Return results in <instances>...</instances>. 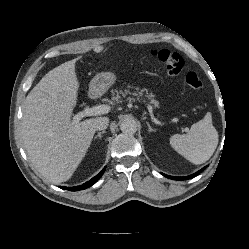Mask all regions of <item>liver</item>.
<instances>
[{"label":"liver","instance_id":"1","mask_svg":"<svg viewBox=\"0 0 249 249\" xmlns=\"http://www.w3.org/2000/svg\"><path fill=\"white\" fill-rule=\"evenodd\" d=\"M67 61L49 71L25 99L22 139L35 168L52 183L71 178L95 134L93 122L73 124L79 81L75 64Z\"/></svg>","mask_w":249,"mask_h":249}]
</instances>
